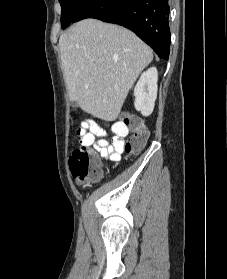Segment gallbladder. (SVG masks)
I'll return each instance as SVG.
<instances>
[{
    "mask_svg": "<svg viewBox=\"0 0 227 279\" xmlns=\"http://www.w3.org/2000/svg\"><path fill=\"white\" fill-rule=\"evenodd\" d=\"M72 106H73V107H76V106H77V103L73 101V102H72Z\"/></svg>",
    "mask_w": 227,
    "mask_h": 279,
    "instance_id": "gallbladder-1",
    "label": "gallbladder"
}]
</instances>
